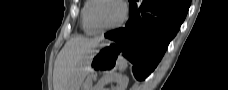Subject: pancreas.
I'll list each match as a JSON object with an SVG mask.
<instances>
[{"label":"pancreas","mask_w":228,"mask_h":90,"mask_svg":"<svg viewBox=\"0 0 228 90\" xmlns=\"http://www.w3.org/2000/svg\"><path fill=\"white\" fill-rule=\"evenodd\" d=\"M94 77L93 75H89L87 77V79L85 80L84 84H83V88L82 90H92L93 89V81H94Z\"/></svg>","instance_id":"1"}]
</instances>
